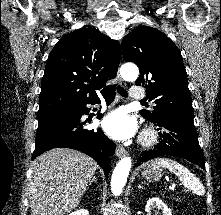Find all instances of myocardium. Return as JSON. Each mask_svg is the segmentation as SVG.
<instances>
[{
  "mask_svg": "<svg viewBox=\"0 0 221 215\" xmlns=\"http://www.w3.org/2000/svg\"><path fill=\"white\" fill-rule=\"evenodd\" d=\"M158 140L157 133L153 129H147L141 136V144L143 146H152Z\"/></svg>",
  "mask_w": 221,
  "mask_h": 215,
  "instance_id": "1",
  "label": "myocardium"
}]
</instances>
